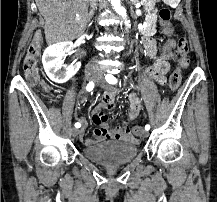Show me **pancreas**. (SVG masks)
<instances>
[{"label": "pancreas", "mask_w": 217, "mask_h": 202, "mask_svg": "<svg viewBox=\"0 0 217 202\" xmlns=\"http://www.w3.org/2000/svg\"><path fill=\"white\" fill-rule=\"evenodd\" d=\"M143 35H149V37H152V35H157V30H143Z\"/></svg>", "instance_id": "1"}]
</instances>
